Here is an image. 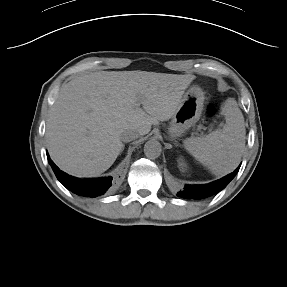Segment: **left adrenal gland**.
<instances>
[{
  "label": "left adrenal gland",
  "instance_id": "obj_1",
  "mask_svg": "<svg viewBox=\"0 0 287 287\" xmlns=\"http://www.w3.org/2000/svg\"><path fill=\"white\" fill-rule=\"evenodd\" d=\"M175 145H176V146H179V144H178V143H175Z\"/></svg>",
  "mask_w": 287,
  "mask_h": 287
}]
</instances>
